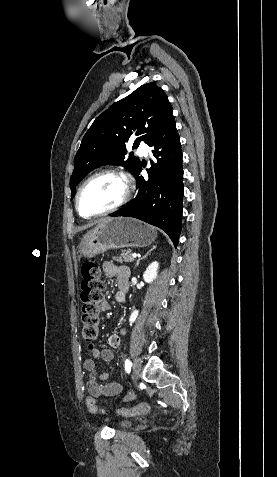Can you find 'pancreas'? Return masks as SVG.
<instances>
[{"label":"pancreas","mask_w":277,"mask_h":477,"mask_svg":"<svg viewBox=\"0 0 277 477\" xmlns=\"http://www.w3.org/2000/svg\"><path fill=\"white\" fill-rule=\"evenodd\" d=\"M114 260L117 262H133L134 258L132 257L131 251L122 252L121 255L114 257Z\"/></svg>","instance_id":"pancreas-1"}]
</instances>
